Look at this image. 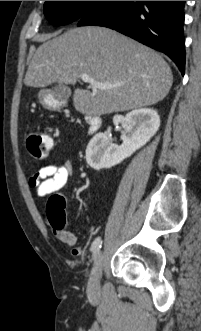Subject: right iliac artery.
Returning a JSON list of instances; mask_svg holds the SVG:
<instances>
[{
	"label": "right iliac artery",
	"mask_w": 201,
	"mask_h": 331,
	"mask_svg": "<svg viewBox=\"0 0 201 331\" xmlns=\"http://www.w3.org/2000/svg\"><path fill=\"white\" fill-rule=\"evenodd\" d=\"M101 245H102V240L100 237H97L93 243H92V246H91V251L93 253L94 256H96L98 253H99V250L101 248Z\"/></svg>",
	"instance_id": "1"
}]
</instances>
